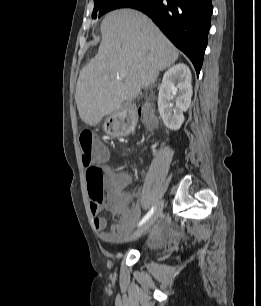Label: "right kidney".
I'll list each match as a JSON object with an SVG mask.
<instances>
[{"label": "right kidney", "mask_w": 261, "mask_h": 306, "mask_svg": "<svg viewBox=\"0 0 261 306\" xmlns=\"http://www.w3.org/2000/svg\"><path fill=\"white\" fill-rule=\"evenodd\" d=\"M191 79V71L185 64L169 68L163 76L158 109L165 126L171 130L180 129L184 122L183 113L188 110L193 94Z\"/></svg>", "instance_id": "right-kidney-1"}]
</instances>
